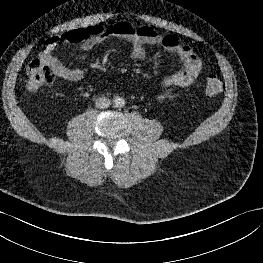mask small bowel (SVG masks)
<instances>
[{
  "mask_svg": "<svg viewBox=\"0 0 263 263\" xmlns=\"http://www.w3.org/2000/svg\"><path fill=\"white\" fill-rule=\"evenodd\" d=\"M110 37H119L129 42L130 56L134 60L145 58V45H160L166 51L176 54L182 67L162 81L164 91L158 96L159 101L169 97L173 90L193 84L200 75L202 61L187 44H182L173 35H161L147 26H134L128 22L112 25H94L52 35L45 41V47L39 55L40 61L49 66L56 76L67 81H80L84 73L80 69L70 68L57 59L53 52L60 44H79L83 51H88Z\"/></svg>",
  "mask_w": 263,
  "mask_h": 263,
  "instance_id": "small-bowel-1",
  "label": "small bowel"
}]
</instances>
